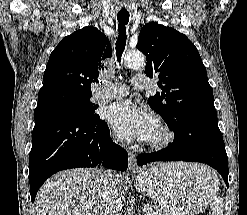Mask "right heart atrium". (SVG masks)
I'll return each mask as SVG.
<instances>
[{
	"mask_svg": "<svg viewBox=\"0 0 247 215\" xmlns=\"http://www.w3.org/2000/svg\"><path fill=\"white\" fill-rule=\"evenodd\" d=\"M112 139L115 143H117V144L120 143V140L117 136L113 135Z\"/></svg>",
	"mask_w": 247,
	"mask_h": 215,
	"instance_id": "d8ad5b80",
	"label": "right heart atrium"
}]
</instances>
